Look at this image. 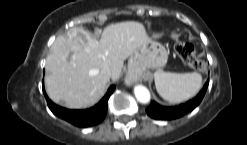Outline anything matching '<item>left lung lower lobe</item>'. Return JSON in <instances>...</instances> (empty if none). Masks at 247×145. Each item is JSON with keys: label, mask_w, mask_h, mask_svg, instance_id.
I'll use <instances>...</instances> for the list:
<instances>
[{"label": "left lung lower lobe", "mask_w": 247, "mask_h": 145, "mask_svg": "<svg viewBox=\"0 0 247 145\" xmlns=\"http://www.w3.org/2000/svg\"><path fill=\"white\" fill-rule=\"evenodd\" d=\"M208 82L203 87V90L193 99L185 104H181L177 107H164L157 104L155 101L151 102V105L146 109L147 114L154 119H176L188 112L192 111L203 99L205 92L208 88Z\"/></svg>", "instance_id": "left-lung-lower-lobe-1"}]
</instances>
